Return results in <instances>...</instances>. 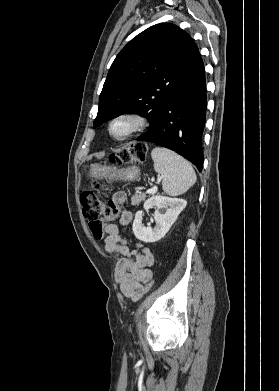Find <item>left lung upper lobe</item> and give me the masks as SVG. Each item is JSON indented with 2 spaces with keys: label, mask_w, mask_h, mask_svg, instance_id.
<instances>
[{
  "label": "left lung upper lobe",
  "mask_w": 279,
  "mask_h": 391,
  "mask_svg": "<svg viewBox=\"0 0 279 391\" xmlns=\"http://www.w3.org/2000/svg\"><path fill=\"white\" fill-rule=\"evenodd\" d=\"M200 60L197 45L181 28L171 23L149 27L132 39L112 63L94 127L124 113H138L152 127Z\"/></svg>",
  "instance_id": "obj_1"
}]
</instances>
